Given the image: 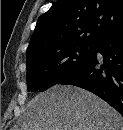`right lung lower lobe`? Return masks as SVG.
<instances>
[{
	"instance_id": "obj_1",
	"label": "right lung lower lobe",
	"mask_w": 123,
	"mask_h": 130,
	"mask_svg": "<svg viewBox=\"0 0 123 130\" xmlns=\"http://www.w3.org/2000/svg\"><path fill=\"white\" fill-rule=\"evenodd\" d=\"M59 84L84 88L123 116V25L101 37L86 61Z\"/></svg>"
}]
</instances>
